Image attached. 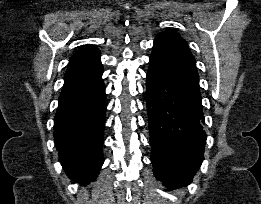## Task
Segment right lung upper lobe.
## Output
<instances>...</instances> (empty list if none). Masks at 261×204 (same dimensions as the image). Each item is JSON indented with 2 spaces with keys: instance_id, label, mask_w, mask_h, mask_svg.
Masks as SVG:
<instances>
[{
  "instance_id": "1",
  "label": "right lung upper lobe",
  "mask_w": 261,
  "mask_h": 204,
  "mask_svg": "<svg viewBox=\"0 0 261 204\" xmlns=\"http://www.w3.org/2000/svg\"><path fill=\"white\" fill-rule=\"evenodd\" d=\"M100 58V51L92 45H84L73 54L68 64V69L90 63Z\"/></svg>"
}]
</instances>
